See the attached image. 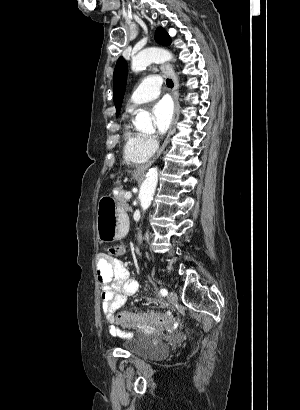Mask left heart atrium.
<instances>
[{"label":"left heart atrium","mask_w":300,"mask_h":410,"mask_svg":"<svg viewBox=\"0 0 300 410\" xmlns=\"http://www.w3.org/2000/svg\"><path fill=\"white\" fill-rule=\"evenodd\" d=\"M152 113L157 133L160 135L165 134L173 119L172 104L169 100L162 99L153 106Z\"/></svg>","instance_id":"39dd6f15"}]
</instances>
